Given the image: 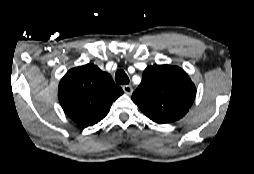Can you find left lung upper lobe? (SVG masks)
Returning a JSON list of instances; mask_svg holds the SVG:
<instances>
[{"mask_svg":"<svg viewBox=\"0 0 254 174\" xmlns=\"http://www.w3.org/2000/svg\"><path fill=\"white\" fill-rule=\"evenodd\" d=\"M195 95V85L184 70L171 65H153L144 70L132 100L147 117L163 124L182 118Z\"/></svg>","mask_w":254,"mask_h":174,"instance_id":"obj_1","label":"left lung upper lobe"}]
</instances>
